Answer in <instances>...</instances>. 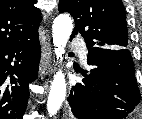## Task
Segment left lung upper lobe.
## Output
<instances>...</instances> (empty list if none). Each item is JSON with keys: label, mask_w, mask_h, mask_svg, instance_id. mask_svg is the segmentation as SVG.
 Returning a JSON list of instances; mask_svg holds the SVG:
<instances>
[{"label": "left lung upper lobe", "mask_w": 142, "mask_h": 119, "mask_svg": "<svg viewBox=\"0 0 142 119\" xmlns=\"http://www.w3.org/2000/svg\"><path fill=\"white\" fill-rule=\"evenodd\" d=\"M58 9L73 16L72 35L81 34L88 48H128L126 14L121 0H60Z\"/></svg>", "instance_id": "left-lung-upper-lobe-1"}]
</instances>
